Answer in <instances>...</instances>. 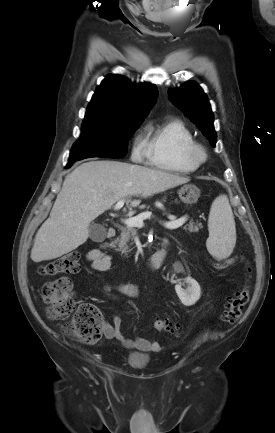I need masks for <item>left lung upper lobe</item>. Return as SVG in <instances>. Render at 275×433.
<instances>
[{
    "instance_id": "obj_1",
    "label": "left lung upper lobe",
    "mask_w": 275,
    "mask_h": 433,
    "mask_svg": "<svg viewBox=\"0 0 275 433\" xmlns=\"http://www.w3.org/2000/svg\"><path fill=\"white\" fill-rule=\"evenodd\" d=\"M170 100L201 130L215 147L216 133L213 125V113L206 94L201 87L188 82L180 88L168 92Z\"/></svg>"
}]
</instances>
